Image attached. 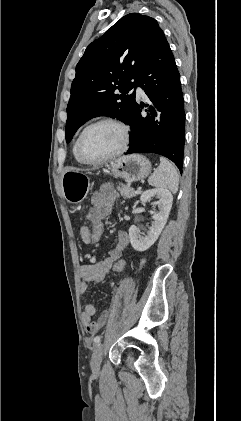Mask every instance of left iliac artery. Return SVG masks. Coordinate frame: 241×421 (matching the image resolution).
Returning <instances> with one entry per match:
<instances>
[{"mask_svg":"<svg viewBox=\"0 0 241 421\" xmlns=\"http://www.w3.org/2000/svg\"><path fill=\"white\" fill-rule=\"evenodd\" d=\"M101 342V336H96L95 338H94V343L97 345V344H99Z\"/></svg>","mask_w":241,"mask_h":421,"instance_id":"left-iliac-artery-1","label":"left iliac artery"}]
</instances>
